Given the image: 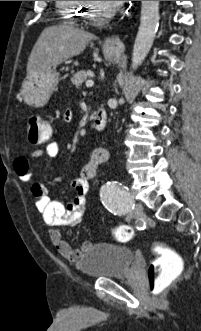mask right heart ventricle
<instances>
[{"label": "right heart ventricle", "instance_id": "1", "mask_svg": "<svg viewBox=\"0 0 201 331\" xmlns=\"http://www.w3.org/2000/svg\"><path fill=\"white\" fill-rule=\"evenodd\" d=\"M61 18L72 24H78L80 14L84 11L82 1H56Z\"/></svg>", "mask_w": 201, "mask_h": 331}]
</instances>
